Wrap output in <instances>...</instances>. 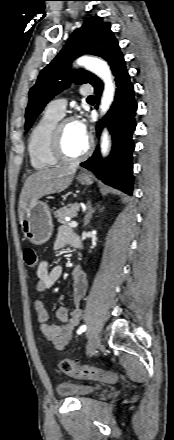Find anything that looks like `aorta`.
<instances>
[{"mask_svg":"<svg viewBox=\"0 0 174 440\" xmlns=\"http://www.w3.org/2000/svg\"><path fill=\"white\" fill-rule=\"evenodd\" d=\"M76 64L83 66L103 80L104 91L101 98L100 111L102 114H105L109 110L115 95V84L108 64L102 59L89 56L80 57L77 59ZM109 148V133L104 129L101 137V153L103 156L108 154Z\"/></svg>","mask_w":174,"mask_h":440,"instance_id":"aorta-1","label":"aorta"}]
</instances>
